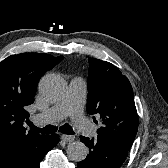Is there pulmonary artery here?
<instances>
[{
    "label": "pulmonary artery",
    "instance_id": "e3ab8cb5",
    "mask_svg": "<svg viewBox=\"0 0 168 168\" xmlns=\"http://www.w3.org/2000/svg\"><path fill=\"white\" fill-rule=\"evenodd\" d=\"M87 84L82 78H73L60 102L35 117V121H58L71 117L75 126L85 134H93L95 127L83 115Z\"/></svg>",
    "mask_w": 168,
    "mask_h": 168
}]
</instances>
